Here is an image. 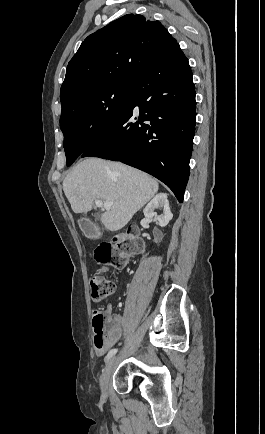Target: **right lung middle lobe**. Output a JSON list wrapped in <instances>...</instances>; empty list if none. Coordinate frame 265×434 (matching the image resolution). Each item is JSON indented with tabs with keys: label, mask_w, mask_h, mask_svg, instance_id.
I'll return each mask as SVG.
<instances>
[{
	"label": "right lung middle lobe",
	"mask_w": 265,
	"mask_h": 434,
	"mask_svg": "<svg viewBox=\"0 0 265 434\" xmlns=\"http://www.w3.org/2000/svg\"><path fill=\"white\" fill-rule=\"evenodd\" d=\"M135 78L111 76L74 87L61 98L60 128L67 166L99 140L122 116Z\"/></svg>",
	"instance_id": "1"
}]
</instances>
